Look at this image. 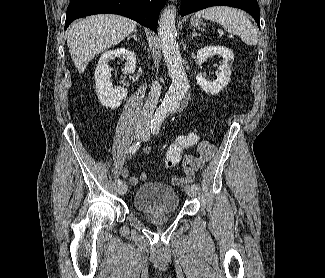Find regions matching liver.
I'll return each mask as SVG.
<instances>
[{
  "instance_id": "1",
  "label": "liver",
  "mask_w": 325,
  "mask_h": 278,
  "mask_svg": "<svg viewBox=\"0 0 325 278\" xmlns=\"http://www.w3.org/2000/svg\"><path fill=\"white\" fill-rule=\"evenodd\" d=\"M136 22L127 17L100 14L74 23L67 32L71 58L83 73L93 57L125 39L135 30Z\"/></svg>"
}]
</instances>
